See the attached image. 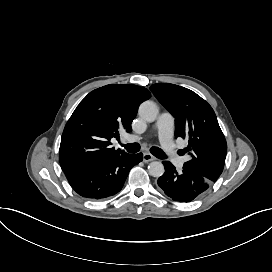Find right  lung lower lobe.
I'll use <instances>...</instances> for the list:
<instances>
[{
    "label": "right lung lower lobe",
    "instance_id": "1",
    "mask_svg": "<svg viewBox=\"0 0 272 272\" xmlns=\"http://www.w3.org/2000/svg\"><path fill=\"white\" fill-rule=\"evenodd\" d=\"M142 153H121L112 159L87 164L65 173L80 196L101 200L118 193L130 169L142 161Z\"/></svg>",
    "mask_w": 272,
    "mask_h": 272
}]
</instances>
